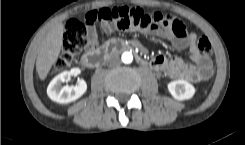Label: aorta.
<instances>
[{
	"label": "aorta",
	"instance_id": "1",
	"mask_svg": "<svg viewBox=\"0 0 245 145\" xmlns=\"http://www.w3.org/2000/svg\"><path fill=\"white\" fill-rule=\"evenodd\" d=\"M123 63L129 64L133 60V55L130 52H124L121 56Z\"/></svg>",
	"mask_w": 245,
	"mask_h": 145
}]
</instances>
